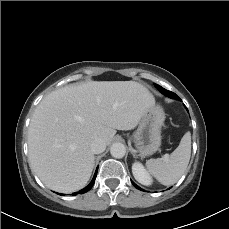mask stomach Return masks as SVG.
<instances>
[{
  "instance_id": "obj_1",
  "label": "stomach",
  "mask_w": 229,
  "mask_h": 229,
  "mask_svg": "<svg viewBox=\"0 0 229 229\" xmlns=\"http://www.w3.org/2000/svg\"><path fill=\"white\" fill-rule=\"evenodd\" d=\"M165 120L163 109L154 105L148 108L132 136L136 151L141 157L154 154L161 146V127Z\"/></svg>"
}]
</instances>
